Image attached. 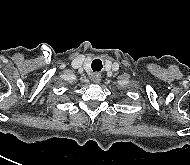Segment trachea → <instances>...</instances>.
<instances>
[{"instance_id": "trachea-1", "label": "trachea", "mask_w": 190, "mask_h": 165, "mask_svg": "<svg viewBox=\"0 0 190 165\" xmlns=\"http://www.w3.org/2000/svg\"><path fill=\"white\" fill-rule=\"evenodd\" d=\"M91 67L93 71H100L102 69V61L100 59L93 60Z\"/></svg>"}]
</instances>
